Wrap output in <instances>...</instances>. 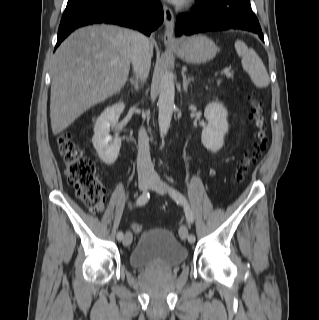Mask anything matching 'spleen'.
Here are the masks:
<instances>
[{
	"mask_svg": "<svg viewBox=\"0 0 319 320\" xmlns=\"http://www.w3.org/2000/svg\"><path fill=\"white\" fill-rule=\"evenodd\" d=\"M235 50L242 59L243 69L249 74L254 85L258 88L267 87L270 79L258 54L241 40L235 42Z\"/></svg>",
	"mask_w": 319,
	"mask_h": 320,
	"instance_id": "1",
	"label": "spleen"
}]
</instances>
